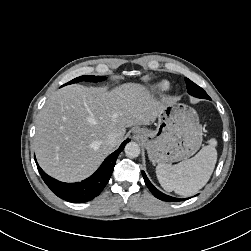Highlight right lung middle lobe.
<instances>
[{"instance_id":"right-lung-middle-lobe-1","label":"right lung middle lobe","mask_w":251,"mask_h":251,"mask_svg":"<svg viewBox=\"0 0 251 251\" xmlns=\"http://www.w3.org/2000/svg\"><path fill=\"white\" fill-rule=\"evenodd\" d=\"M105 79H106V77H101V76H96L95 77L93 75L80 76V77H77V78L71 80L70 82L66 83L65 85L80 82V81L100 82V81H103Z\"/></svg>"}]
</instances>
